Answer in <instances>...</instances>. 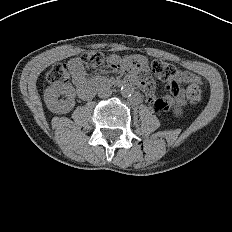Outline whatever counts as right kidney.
<instances>
[{"label": "right kidney", "mask_w": 232, "mask_h": 232, "mask_svg": "<svg viewBox=\"0 0 232 232\" xmlns=\"http://www.w3.org/2000/svg\"><path fill=\"white\" fill-rule=\"evenodd\" d=\"M60 95H66L67 99L58 100ZM76 92L73 86L67 84H54L44 92V101L47 108L55 114H67L75 106Z\"/></svg>", "instance_id": "right-kidney-1"}]
</instances>
